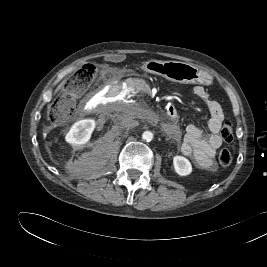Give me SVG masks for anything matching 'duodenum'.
Returning <instances> with one entry per match:
<instances>
[{
	"label": "duodenum",
	"mask_w": 267,
	"mask_h": 267,
	"mask_svg": "<svg viewBox=\"0 0 267 267\" xmlns=\"http://www.w3.org/2000/svg\"><path fill=\"white\" fill-rule=\"evenodd\" d=\"M109 93L112 96H116L117 98L123 97L124 99H127L129 97V94L125 92V90L122 88V86L119 83H112L109 86ZM166 115L172 120L176 119L177 117L176 109L172 106H169L166 109Z\"/></svg>",
	"instance_id": "1"
}]
</instances>
